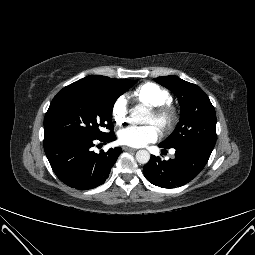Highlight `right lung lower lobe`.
<instances>
[{"instance_id":"obj_1","label":"right lung lower lobe","mask_w":255,"mask_h":255,"mask_svg":"<svg viewBox=\"0 0 255 255\" xmlns=\"http://www.w3.org/2000/svg\"><path fill=\"white\" fill-rule=\"evenodd\" d=\"M113 132L101 138L81 135H56L44 138V149L57 177L66 185L79 190H89L103 184L108 178L122 150L110 148L99 154L92 151L94 142H111Z\"/></svg>"}]
</instances>
